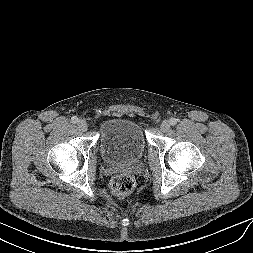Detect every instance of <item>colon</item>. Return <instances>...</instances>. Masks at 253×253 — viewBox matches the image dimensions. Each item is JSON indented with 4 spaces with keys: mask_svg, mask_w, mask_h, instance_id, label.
I'll return each mask as SVG.
<instances>
[{
    "mask_svg": "<svg viewBox=\"0 0 253 253\" xmlns=\"http://www.w3.org/2000/svg\"><path fill=\"white\" fill-rule=\"evenodd\" d=\"M135 186L133 177L128 174L117 175L112 181L113 191L120 196L129 194Z\"/></svg>",
    "mask_w": 253,
    "mask_h": 253,
    "instance_id": "1",
    "label": "colon"
}]
</instances>
